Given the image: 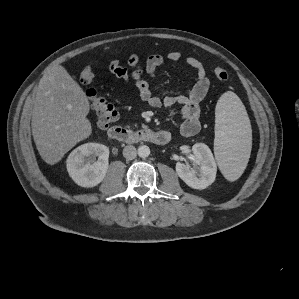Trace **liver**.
Returning a JSON list of instances; mask_svg holds the SVG:
<instances>
[{"instance_id":"liver-1","label":"liver","mask_w":299,"mask_h":299,"mask_svg":"<svg viewBox=\"0 0 299 299\" xmlns=\"http://www.w3.org/2000/svg\"><path fill=\"white\" fill-rule=\"evenodd\" d=\"M89 101L80 85L61 65L49 67L39 82L32 135L41 158L58 163L78 142L92 133L87 119Z\"/></svg>"}]
</instances>
